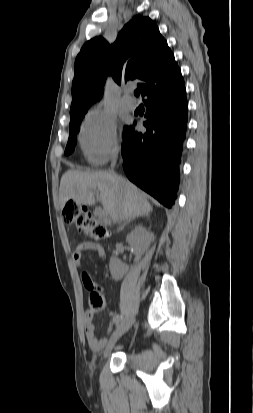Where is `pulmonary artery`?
Listing matches in <instances>:
<instances>
[{"instance_id": "1", "label": "pulmonary artery", "mask_w": 253, "mask_h": 413, "mask_svg": "<svg viewBox=\"0 0 253 413\" xmlns=\"http://www.w3.org/2000/svg\"><path fill=\"white\" fill-rule=\"evenodd\" d=\"M122 105L129 110H134L137 107V101L131 95L130 89L125 90L122 98Z\"/></svg>"}]
</instances>
